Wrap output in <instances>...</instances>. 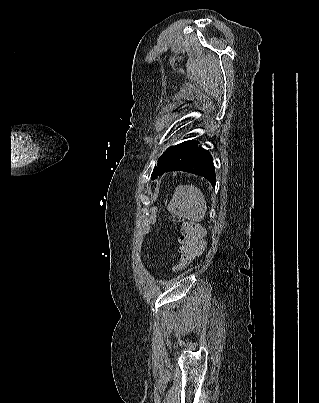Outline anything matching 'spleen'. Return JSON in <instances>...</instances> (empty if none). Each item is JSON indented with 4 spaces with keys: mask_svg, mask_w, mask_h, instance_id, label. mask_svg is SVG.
<instances>
[{
    "mask_svg": "<svg viewBox=\"0 0 319 403\" xmlns=\"http://www.w3.org/2000/svg\"><path fill=\"white\" fill-rule=\"evenodd\" d=\"M168 211L173 215L200 222L204 219L207 211L205 196L195 186L180 185L174 191L168 205Z\"/></svg>",
    "mask_w": 319,
    "mask_h": 403,
    "instance_id": "1",
    "label": "spleen"
}]
</instances>
